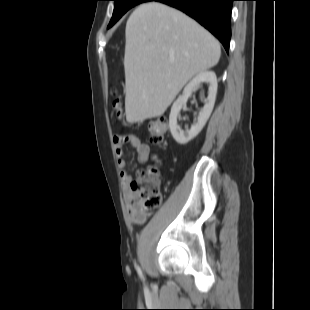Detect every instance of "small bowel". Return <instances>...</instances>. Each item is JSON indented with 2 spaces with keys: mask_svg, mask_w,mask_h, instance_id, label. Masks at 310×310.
Here are the masks:
<instances>
[{
  "mask_svg": "<svg viewBox=\"0 0 310 310\" xmlns=\"http://www.w3.org/2000/svg\"><path fill=\"white\" fill-rule=\"evenodd\" d=\"M115 154L119 167L121 168L120 177L123 190V199L127 207V213L131 221L135 224H143L150 215V211L143 208L137 201V196L130 189L131 175L125 170L126 160L124 158V146L131 145L137 151L138 161L146 163L147 161H159V157L153 154L147 144L142 143L139 138L133 134L115 135L113 137Z\"/></svg>",
  "mask_w": 310,
  "mask_h": 310,
  "instance_id": "small-bowel-1",
  "label": "small bowel"
}]
</instances>
